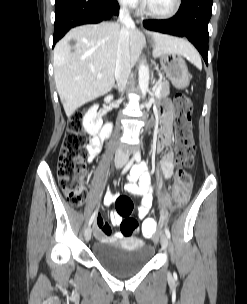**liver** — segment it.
<instances>
[{
	"label": "liver",
	"instance_id": "1",
	"mask_svg": "<svg viewBox=\"0 0 247 304\" xmlns=\"http://www.w3.org/2000/svg\"><path fill=\"white\" fill-rule=\"evenodd\" d=\"M121 27L104 22L71 29L55 46L53 66L56 88L67 117L79 107L108 93L115 82L117 47ZM154 41L153 56L176 53L189 59L198 55L184 39L147 32ZM130 62L134 66L145 45L135 27L128 28ZM75 40V45L69 44Z\"/></svg>",
	"mask_w": 247,
	"mask_h": 304
}]
</instances>
